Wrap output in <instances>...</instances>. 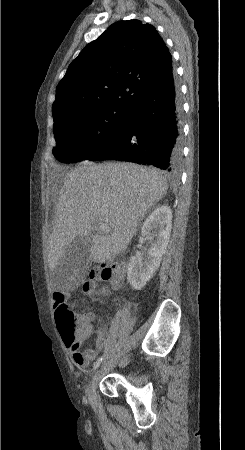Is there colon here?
<instances>
[{"label": "colon", "instance_id": "5ec220e1", "mask_svg": "<svg viewBox=\"0 0 245 450\" xmlns=\"http://www.w3.org/2000/svg\"><path fill=\"white\" fill-rule=\"evenodd\" d=\"M126 271V262H114L109 266H103L99 269L98 275L94 273L90 274V280L98 278L102 281H112L122 279ZM88 284L85 288H88ZM54 299L63 301L64 294H54ZM55 327L62 337L63 341L67 344L77 343L88 338L90 334V325L86 321H82L76 318L73 311L65 303H60L55 312ZM81 356H78V361H81Z\"/></svg>", "mask_w": 245, "mask_h": 450}]
</instances>
